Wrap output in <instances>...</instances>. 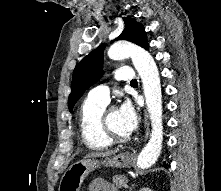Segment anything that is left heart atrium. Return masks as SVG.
Listing matches in <instances>:
<instances>
[{"label": "left heart atrium", "instance_id": "39dd6f15", "mask_svg": "<svg viewBox=\"0 0 221 191\" xmlns=\"http://www.w3.org/2000/svg\"><path fill=\"white\" fill-rule=\"evenodd\" d=\"M118 111L123 129L129 134L134 132L138 127L139 117L133 104L125 101Z\"/></svg>", "mask_w": 221, "mask_h": 191}]
</instances>
